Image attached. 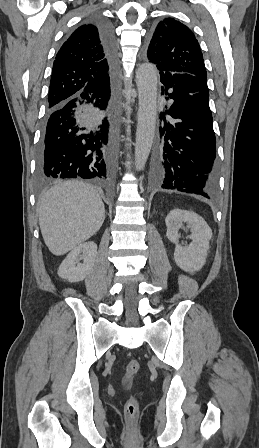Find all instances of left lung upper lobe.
Returning <instances> with one entry per match:
<instances>
[{"label": "left lung upper lobe", "instance_id": "1", "mask_svg": "<svg viewBox=\"0 0 259 448\" xmlns=\"http://www.w3.org/2000/svg\"><path fill=\"white\" fill-rule=\"evenodd\" d=\"M147 56L159 71L188 73L207 80L198 40L187 26L173 18L158 23Z\"/></svg>", "mask_w": 259, "mask_h": 448}]
</instances>
